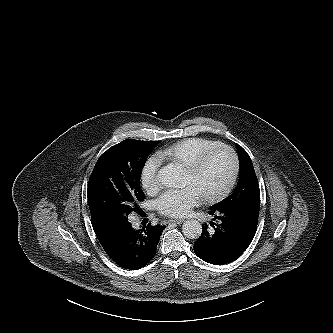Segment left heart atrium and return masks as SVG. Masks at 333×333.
<instances>
[{
	"label": "left heart atrium",
	"mask_w": 333,
	"mask_h": 333,
	"mask_svg": "<svg viewBox=\"0 0 333 333\" xmlns=\"http://www.w3.org/2000/svg\"><path fill=\"white\" fill-rule=\"evenodd\" d=\"M203 196L192 186L168 189L156 200L159 212L169 217H184L190 213L192 208L198 206Z\"/></svg>",
	"instance_id": "1"
}]
</instances>
